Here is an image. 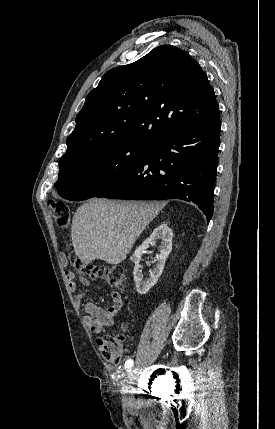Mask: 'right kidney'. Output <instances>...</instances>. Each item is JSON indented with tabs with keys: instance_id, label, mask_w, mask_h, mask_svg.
<instances>
[{
	"instance_id": "ca27d5eb",
	"label": "right kidney",
	"mask_w": 275,
	"mask_h": 429,
	"mask_svg": "<svg viewBox=\"0 0 275 429\" xmlns=\"http://www.w3.org/2000/svg\"><path fill=\"white\" fill-rule=\"evenodd\" d=\"M172 237L173 232L167 224H160L155 228L152 234L135 250L131 261L135 264L134 266V280L136 283L137 292L141 295L146 294L158 281L161 276L165 261L168 258L172 250ZM156 240H160L159 252L160 254L156 258V266L150 271V276L146 280H143L141 266L139 265L142 254L149 247L154 244Z\"/></svg>"
}]
</instances>
